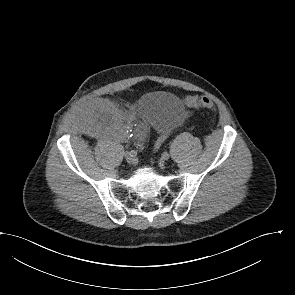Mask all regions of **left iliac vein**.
Returning a JSON list of instances; mask_svg holds the SVG:
<instances>
[{
	"label": "left iliac vein",
	"mask_w": 295,
	"mask_h": 295,
	"mask_svg": "<svg viewBox=\"0 0 295 295\" xmlns=\"http://www.w3.org/2000/svg\"><path fill=\"white\" fill-rule=\"evenodd\" d=\"M169 159V154L167 153L165 156H162L161 160H160V165L162 168H164L165 166V161H167Z\"/></svg>",
	"instance_id": "1"
}]
</instances>
